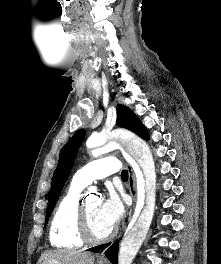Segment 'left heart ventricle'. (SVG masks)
Here are the masks:
<instances>
[{"instance_id":"1","label":"left heart ventricle","mask_w":221,"mask_h":264,"mask_svg":"<svg viewBox=\"0 0 221 264\" xmlns=\"http://www.w3.org/2000/svg\"><path fill=\"white\" fill-rule=\"evenodd\" d=\"M100 204L96 197H89L85 201L90 229L95 237H103L112 229L100 213Z\"/></svg>"}]
</instances>
